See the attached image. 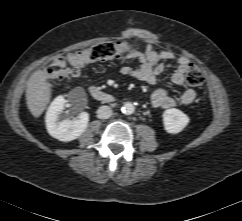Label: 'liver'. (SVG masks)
I'll return each instance as SVG.
<instances>
[{"mask_svg":"<svg viewBox=\"0 0 242 221\" xmlns=\"http://www.w3.org/2000/svg\"><path fill=\"white\" fill-rule=\"evenodd\" d=\"M51 87L46 70H37L28 79L26 101L34 117H40L46 109L51 98Z\"/></svg>","mask_w":242,"mask_h":221,"instance_id":"6515ba94","label":"liver"}]
</instances>
